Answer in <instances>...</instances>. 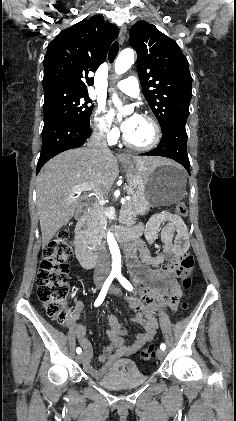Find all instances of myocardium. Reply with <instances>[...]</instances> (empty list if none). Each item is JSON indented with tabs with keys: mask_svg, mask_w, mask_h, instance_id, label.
Instances as JSON below:
<instances>
[{
	"mask_svg": "<svg viewBox=\"0 0 236 421\" xmlns=\"http://www.w3.org/2000/svg\"><path fill=\"white\" fill-rule=\"evenodd\" d=\"M138 116L143 118L144 120H146L152 126V129H153V139H152V141L147 145H136V144L131 143L128 140V138L126 136V133H125L123 135V142L127 147H129L133 150L140 151V152H148V151H151V150L155 149L159 145V143L161 141V137H162L161 128H160L159 124L157 123V121L155 119H153L151 116H149L147 114H139Z\"/></svg>",
	"mask_w": 236,
	"mask_h": 421,
	"instance_id": "myocardium-1",
	"label": "myocardium"
}]
</instances>
